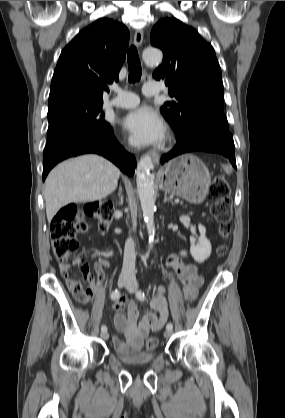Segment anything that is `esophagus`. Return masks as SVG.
<instances>
[{
	"label": "esophagus",
	"mask_w": 285,
	"mask_h": 418,
	"mask_svg": "<svg viewBox=\"0 0 285 418\" xmlns=\"http://www.w3.org/2000/svg\"><path fill=\"white\" fill-rule=\"evenodd\" d=\"M142 42H143V30L137 29L134 34V43L137 47H140ZM151 155H152L153 162L158 163L160 160L159 153L156 151H153Z\"/></svg>",
	"instance_id": "obj_1"
}]
</instances>
